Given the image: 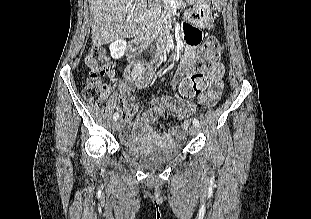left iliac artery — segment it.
<instances>
[{"label": "left iliac artery", "mask_w": 311, "mask_h": 219, "mask_svg": "<svg viewBox=\"0 0 311 219\" xmlns=\"http://www.w3.org/2000/svg\"><path fill=\"white\" fill-rule=\"evenodd\" d=\"M193 125H195L196 127H199L200 125L199 121L196 118L193 119Z\"/></svg>", "instance_id": "left-iliac-artery-1"}]
</instances>
